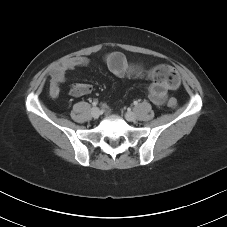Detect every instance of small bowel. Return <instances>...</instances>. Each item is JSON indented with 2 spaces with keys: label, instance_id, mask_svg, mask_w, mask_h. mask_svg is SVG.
Here are the masks:
<instances>
[{
  "label": "small bowel",
  "instance_id": "small-bowel-1",
  "mask_svg": "<svg viewBox=\"0 0 227 227\" xmlns=\"http://www.w3.org/2000/svg\"><path fill=\"white\" fill-rule=\"evenodd\" d=\"M105 62L109 71L117 77L142 76L145 73L151 80L147 88L148 98L156 105L162 106L165 102L169 89L177 86H170L162 81L156 75V67L145 72L140 63L130 62L124 54L120 52L109 53ZM89 64V59L82 56L70 58L65 63L55 67L50 72V94L56 97L59 94V87L65 81L66 73L78 67H85ZM92 91V85L88 83L77 82L70 86L69 93L73 97H80L89 94Z\"/></svg>",
  "mask_w": 227,
  "mask_h": 227
}]
</instances>
